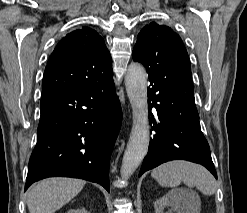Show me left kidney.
I'll return each mask as SVG.
<instances>
[{
    "label": "left kidney",
    "mask_w": 247,
    "mask_h": 213,
    "mask_svg": "<svg viewBox=\"0 0 247 213\" xmlns=\"http://www.w3.org/2000/svg\"><path fill=\"white\" fill-rule=\"evenodd\" d=\"M199 201L189 190H175L168 192L154 203L155 213H163L168 206L176 213H199Z\"/></svg>",
    "instance_id": "obj_1"
}]
</instances>
